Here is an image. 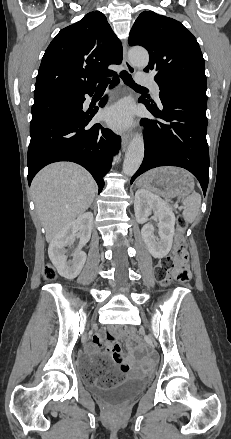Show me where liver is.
Masks as SVG:
<instances>
[{"mask_svg":"<svg viewBox=\"0 0 231 439\" xmlns=\"http://www.w3.org/2000/svg\"><path fill=\"white\" fill-rule=\"evenodd\" d=\"M31 190L46 241L51 242L62 228L89 208L96 183L80 165L59 162L43 168L33 179Z\"/></svg>","mask_w":231,"mask_h":439,"instance_id":"liver-1","label":"liver"}]
</instances>
